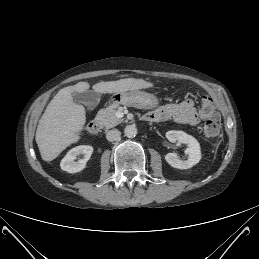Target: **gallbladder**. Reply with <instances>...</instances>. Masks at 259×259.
Listing matches in <instances>:
<instances>
[{
	"label": "gallbladder",
	"instance_id": "bac80fb5",
	"mask_svg": "<svg viewBox=\"0 0 259 259\" xmlns=\"http://www.w3.org/2000/svg\"><path fill=\"white\" fill-rule=\"evenodd\" d=\"M72 97L75 103L84 104L90 109L95 108L100 101L99 94L94 91L75 92L72 94Z\"/></svg>",
	"mask_w": 259,
	"mask_h": 259
}]
</instances>
